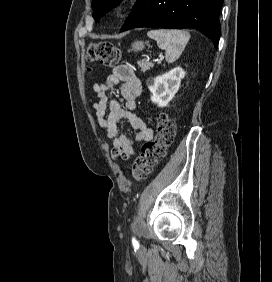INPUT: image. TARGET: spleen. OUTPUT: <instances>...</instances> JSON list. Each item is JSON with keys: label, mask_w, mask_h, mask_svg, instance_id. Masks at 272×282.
Masks as SVG:
<instances>
[{"label": "spleen", "mask_w": 272, "mask_h": 282, "mask_svg": "<svg viewBox=\"0 0 272 282\" xmlns=\"http://www.w3.org/2000/svg\"><path fill=\"white\" fill-rule=\"evenodd\" d=\"M147 35L157 42L160 49L165 51L168 63L175 62L181 56L190 39V34L187 31L173 29L150 30Z\"/></svg>", "instance_id": "3e777b00"}]
</instances>
